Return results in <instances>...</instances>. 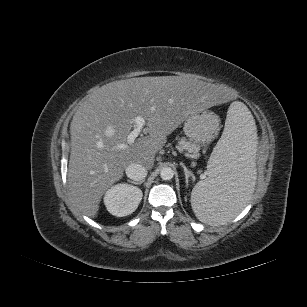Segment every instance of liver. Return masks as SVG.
I'll list each match as a JSON object with an SVG mask.
<instances>
[{
	"label": "liver",
	"mask_w": 307,
	"mask_h": 307,
	"mask_svg": "<svg viewBox=\"0 0 307 307\" xmlns=\"http://www.w3.org/2000/svg\"><path fill=\"white\" fill-rule=\"evenodd\" d=\"M231 96L229 90L181 76L131 78L94 88L70 126L68 187L73 202L95 218L102 196L128 165L151 168L167 136L191 113L228 102ZM137 116L146 120V135L128 145ZM121 144L127 147L118 148Z\"/></svg>",
	"instance_id": "obj_1"
}]
</instances>
